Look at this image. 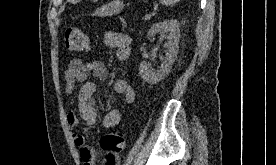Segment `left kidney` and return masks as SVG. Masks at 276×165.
<instances>
[{
  "label": "left kidney",
  "mask_w": 276,
  "mask_h": 165,
  "mask_svg": "<svg viewBox=\"0 0 276 165\" xmlns=\"http://www.w3.org/2000/svg\"><path fill=\"white\" fill-rule=\"evenodd\" d=\"M167 33L168 42L165 44L167 52L158 70H155L151 65L142 61L139 66V72L144 81L150 84H156L168 73L172 68V64L177 58L178 44L180 37V23L176 19L166 20L164 22L155 23L149 30L147 36L151 39L156 34Z\"/></svg>",
  "instance_id": "5707ae66"
}]
</instances>
